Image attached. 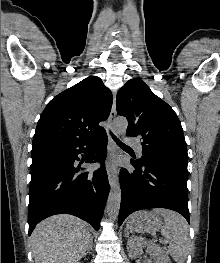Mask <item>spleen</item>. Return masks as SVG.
Returning <instances> with one entry per match:
<instances>
[{"instance_id":"spleen-1","label":"spleen","mask_w":220,"mask_h":263,"mask_svg":"<svg viewBox=\"0 0 220 263\" xmlns=\"http://www.w3.org/2000/svg\"><path fill=\"white\" fill-rule=\"evenodd\" d=\"M164 218L161 234L169 240L168 253L177 263H184L189 250V227L187 221L177 212L157 208L154 210Z\"/></svg>"}]
</instances>
